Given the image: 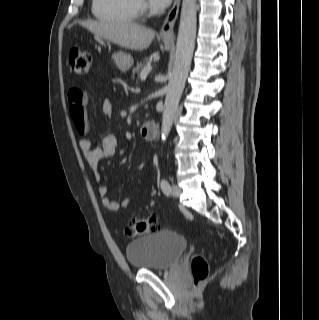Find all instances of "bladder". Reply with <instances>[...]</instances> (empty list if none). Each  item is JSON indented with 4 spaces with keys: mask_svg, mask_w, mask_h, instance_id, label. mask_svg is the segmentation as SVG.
Masks as SVG:
<instances>
[{
    "mask_svg": "<svg viewBox=\"0 0 319 320\" xmlns=\"http://www.w3.org/2000/svg\"><path fill=\"white\" fill-rule=\"evenodd\" d=\"M188 247L187 240L172 230L144 234L126 245L130 265L137 270H165L176 265Z\"/></svg>",
    "mask_w": 319,
    "mask_h": 320,
    "instance_id": "obj_1",
    "label": "bladder"
}]
</instances>
